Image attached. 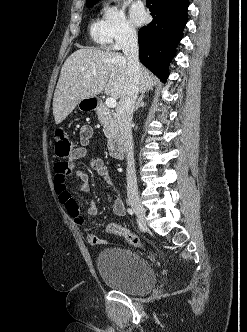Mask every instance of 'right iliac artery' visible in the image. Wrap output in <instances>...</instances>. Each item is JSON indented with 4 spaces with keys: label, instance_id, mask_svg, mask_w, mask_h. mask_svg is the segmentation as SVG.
<instances>
[{
    "label": "right iliac artery",
    "instance_id": "82829eb1",
    "mask_svg": "<svg viewBox=\"0 0 247 332\" xmlns=\"http://www.w3.org/2000/svg\"><path fill=\"white\" fill-rule=\"evenodd\" d=\"M127 212H128L130 215H133V214H134V211H133L131 208H128V209H127Z\"/></svg>",
    "mask_w": 247,
    "mask_h": 332
}]
</instances>
